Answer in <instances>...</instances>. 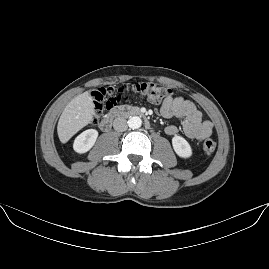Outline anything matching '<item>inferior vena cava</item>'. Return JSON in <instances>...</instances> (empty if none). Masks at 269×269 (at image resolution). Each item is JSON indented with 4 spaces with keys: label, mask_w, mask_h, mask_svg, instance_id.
<instances>
[{
    "label": "inferior vena cava",
    "mask_w": 269,
    "mask_h": 269,
    "mask_svg": "<svg viewBox=\"0 0 269 269\" xmlns=\"http://www.w3.org/2000/svg\"><path fill=\"white\" fill-rule=\"evenodd\" d=\"M113 128L118 132H123L128 129V122L123 117H117L113 121Z\"/></svg>",
    "instance_id": "602c4592"
}]
</instances>
